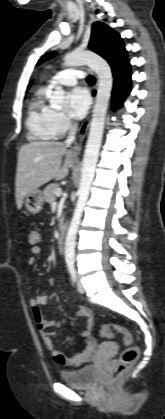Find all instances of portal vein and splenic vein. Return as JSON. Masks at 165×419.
<instances>
[{
  "label": "portal vein and splenic vein",
  "instance_id": "obj_1",
  "mask_svg": "<svg viewBox=\"0 0 165 419\" xmlns=\"http://www.w3.org/2000/svg\"><path fill=\"white\" fill-rule=\"evenodd\" d=\"M61 193H62L61 189H57V190L55 191L56 196H60V195H61Z\"/></svg>",
  "mask_w": 165,
  "mask_h": 419
}]
</instances>
